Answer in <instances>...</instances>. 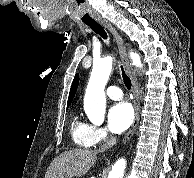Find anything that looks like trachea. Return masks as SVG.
Instances as JSON below:
<instances>
[{"label": "trachea", "mask_w": 194, "mask_h": 178, "mask_svg": "<svg viewBox=\"0 0 194 178\" xmlns=\"http://www.w3.org/2000/svg\"><path fill=\"white\" fill-rule=\"evenodd\" d=\"M95 33H97L98 35H100L103 39H107V33L105 32L104 28L98 24V23H88L87 24ZM121 71H122V78L124 81V84L126 86L127 89H131V80L130 78L126 75L123 66H121Z\"/></svg>", "instance_id": "obj_1"}]
</instances>
